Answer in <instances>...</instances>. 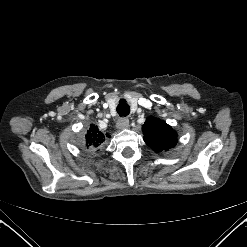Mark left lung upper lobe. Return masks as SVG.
Masks as SVG:
<instances>
[{
	"label": "left lung upper lobe",
	"mask_w": 247,
	"mask_h": 247,
	"mask_svg": "<svg viewBox=\"0 0 247 247\" xmlns=\"http://www.w3.org/2000/svg\"><path fill=\"white\" fill-rule=\"evenodd\" d=\"M144 141L156 152L166 151L174 147L177 133L166 122L154 117L148 118L143 127Z\"/></svg>",
	"instance_id": "5c2ea615"
}]
</instances>
